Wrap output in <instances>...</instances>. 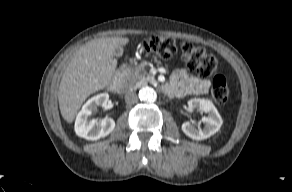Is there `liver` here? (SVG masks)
Returning a JSON list of instances; mask_svg holds the SVG:
<instances>
[{"mask_svg":"<svg viewBox=\"0 0 292 192\" xmlns=\"http://www.w3.org/2000/svg\"><path fill=\"white\" fill-rule=\"evenodd\" d=\"M128 42L123 37L99 38L74 53L58 91L59 108L65 121L72 123L87 97L110 85L117 66L113 51Z\"/></svg>","mask_w":292,"mask_h":192,"instance_id":"obj_1","label":"liver"}]
</instances>
